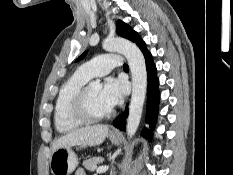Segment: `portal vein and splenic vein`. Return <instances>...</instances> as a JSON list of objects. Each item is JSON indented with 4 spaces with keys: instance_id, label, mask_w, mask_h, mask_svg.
Wrapping results in <instances>:
<instances>
[{
    "instance_id": "obj_1",
    "label": "portal vein and splenic vein",
    "mask_w": 233,
    "mask_h": 175,
    "mask_svg": "<svg viewBox=\"0 0 233 175\" xmlns=\"http://www.w3.org/2000/svg\"><path fill=\"white\" fill-rule=\"evenodd\" d=\"M108 170V166H100L97 168V173H104Z\"/></svg>"
}]
</instances>
